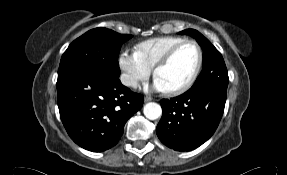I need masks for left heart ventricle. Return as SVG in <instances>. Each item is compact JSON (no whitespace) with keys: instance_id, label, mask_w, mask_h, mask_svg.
<instances>
[{"instance_id":"b2bd125f","label":"left heart ventricle","mask_w":287,"mask_h":175,"mask_svg":"<svg viewBox=\"0 0 287 175\" xmlns=\"http://www.w3.org/2000/svg\"><path fill=\"white\" fill-rule=\"evenodd\" d=\"M198 62V50L193 44L180 48L172 60L159 69L156 77L162 80L167 90L182 86L193 74Z\"/></svg>"}]
</instances>
